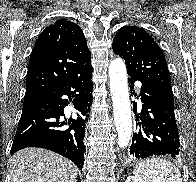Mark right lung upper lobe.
Segmentation results:
<instances>
[{"mask_svg":"<svg viewBox=\"0 0 196 182\" xmlns=\"http://www.w3.org/2000/svg\"><path fill=\"white\" fill-rule=\"evenodd\" d=\"M90 62L91 53L77 24L59 19L46 27L30 55L23 108Z\"/></svg>","mask_w":196,"mask_h":182,"instance_id":"obj_1","label":"right lung upper lobe"}]
</instances>
